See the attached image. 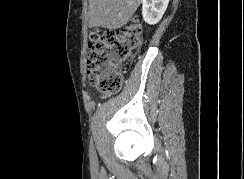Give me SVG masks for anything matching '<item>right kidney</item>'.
<instances>
[{"label": "right kidney", "mask_w": 244, "mask_h": 179, "mask_svg": "<svg viewBox=\"0 0 244 179\" xmlns=\"http://www.w3.org/2000/svg\"><path fill=\"white\" fill-rule=\"evenodd\" d=\"M168 4L169 0H143L142 16L146 24H151V26L158 24Z\"/></svg>", "instance_id": "obj_1"}]
</instances>
